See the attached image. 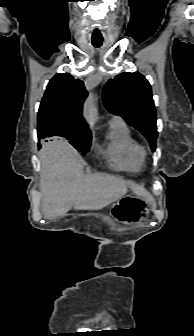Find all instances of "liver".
<instances>
[{"mask_svg":"<svg viewBox=\"0 0 194 336\" xmlns=\"http://www.w3.org/2000/svg\"><path fill=\"white\" fill-rule=\"evenodd\" d=\"M40 190L45 218L62 217L68 210H98L122 198L127 182L121 177L84 173V161L63 140L45 144L39 154Z\"/></svg>","mask_w":194,"mask_h":336,"instance_id":"6515ba94","label":"liver"}]
</instances>
